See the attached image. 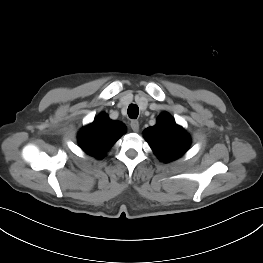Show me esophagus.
Here are the masks:
<instances>
[{"label":"esophagus","mask_w":263,"mask_h":263,"mask_svg":"<svg viewBox=\"0 0 263 263\" xmlns=\"http://www.w3.org/2000/svg\"><path fill=\"white\" fill-rule=\"evenodd\" d=\"M130 126H131V129L134 131V132H138L139 131V122L137 120H132L130 122Z\"/></svg>","instance_id":"34e87169"}]
</instances>
